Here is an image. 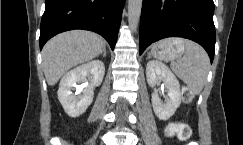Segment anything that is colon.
<instances>
[{"label":"colon","mask_w":243,"mask_h":145,"mask_svg":"<svg viewBox=\"0 0 243 145\" xmlns=\"http://www.w3.org/2000/svg\"><path fill=\"white\" fill-rule=\"evenodd\" d=\"M182 99L185 103L192 101L193 93L190 89H183ZM166 133L168 136L177 135L181 139H186L190 136V128L185 124H173L167 127Z\"/></svg>","instance_id":"5ec220e1"}]
</instances>
